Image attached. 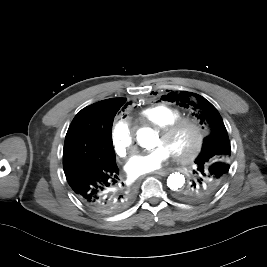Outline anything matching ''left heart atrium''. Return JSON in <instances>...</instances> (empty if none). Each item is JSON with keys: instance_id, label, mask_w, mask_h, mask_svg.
I'll return each instance as SVG.
<instances>
[{"instance_id": "left-heart-atrium-1", "label": "left heart atrium", "mask_w": 267, "mask_h": 267, "mask_svg": "<svg viewBox=\"0 0 267 267\" xmlns=\"http://www.w3.org/2000/svg\"><path fill=\"white\" fill-rule=\"evenodd\" d=\"M170 152L162 145L135 154L127 162L125 169L130 177H138L153 172L163 165L169 158Z\"/></svg>"}]
</instances>
